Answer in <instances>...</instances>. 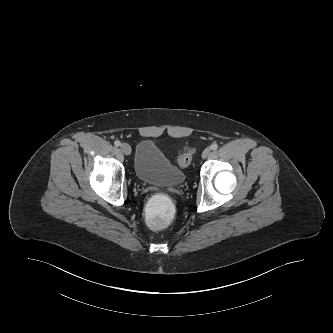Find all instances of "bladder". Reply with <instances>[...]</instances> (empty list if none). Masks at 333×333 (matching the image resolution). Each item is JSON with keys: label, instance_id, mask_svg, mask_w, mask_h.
Segmentation results:
<instances>
[{"label": "bladder", "instance_id": "bladder-1", "mask_svg": "<svg viewBox=\"0 0 333 333\" xmlns=\"http://www.w3.org/2000/svg\"><path fill=\"white\" fill-rule=\"evenodd\" d=\"M134 172L147 184L163 187H179L185 181L184 171L172 164L167 155L152 140L141 141L135 152Z\"/></svg>", "mask_w": 333, "mask_h": 333}]
</instances>
